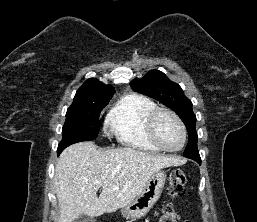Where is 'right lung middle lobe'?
Wrapping results in <instances>:
<instances>
[{
  "label": "right lung middle lobe",
  "mask_w": 257,
  "mask_h": 222,
  "mask_svg": "<svg viewBox=\"0 0 257 222\" xmlns=\"http://www.w3.org/2000/svg\"><path fill=\"white\" fill-rule=\"evenodd\" d=\"M108 102L109 99H94L72 103L66 113L62 129L63 138L57 152H62L71 144L95 139L100 128V112Z\"/></svg>",
  "instance_id": "obj_1"
}]
</instances>
